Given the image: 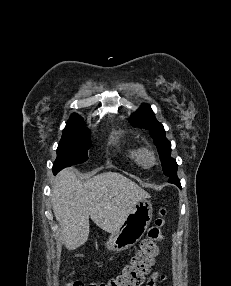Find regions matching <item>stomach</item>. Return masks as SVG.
Returning a JSON list of instances; mask_svg holds the SVG:
<instances>
[{"label": "stomach", "instance_id": "1", "mask_svg": "<svg viewBox=\"0 0 231 286\" xmlns=\"http://www.w3.org/2000/svg\"><path fill=\"white\" fill-rule=\"evenodd\" d=\"M153 216L152 204L141 200L133 207L119 229L111 233L105 248L124 251L134 246L144 235Z\"/></svg>", "mask_w": 231, "mask_h": 286}]
</instances>
